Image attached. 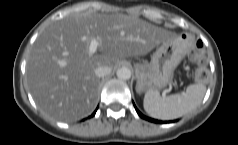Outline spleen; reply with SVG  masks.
I'll use <instances>...</instances> for the list:
<instances>
[{"mask_svg":"<svg viewBox=\"0 0 238 145\" xmlns=\"http://www.w3.org/2000/svg\"><path fill=\"white\" fill-rule=\"evenodd\" d=\"M206 93L201 83L189 85L181 94L161 97L155 90H149L144 96L143 106L146 113L156 119L171 120L179 118L198 107Z\"/></svg>","mask_w":238,"mask_h":145,"instance_id":"1","label":"spleen"}]
</instances>
